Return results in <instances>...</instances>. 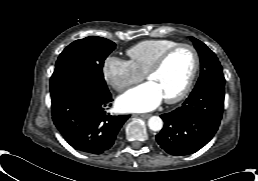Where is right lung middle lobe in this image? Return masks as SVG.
<instances>
[{"label":"right lung middle lobe","mask_w":258,"mask_h":181,"mask_svg":"<svg viewBox=\"0 0 258 181\" xmlns=\"http://www.w3.org/2000/svg\"><path fill=\"white\" fill-rule=\"evenodd\" d=\"M114 49L115 43L102 37L76 40L59 55L54 72L69 74L94 89L107 91L102 68Z\"/></svg>","instance_id":"1"}]
</instances>
